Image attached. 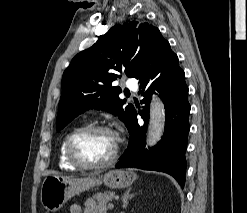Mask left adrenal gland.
Returning <instances> with one entry per match:
<instances>
[{"mask_svg":"<svg viewBox=\"0 0 247 213\" xmlns=\"http://www.w3.org/2000/svg\"><path fill=\"white\" fill-rule=\"evenodd\" d=\"M131 188L125 191V193L122 196V201H123V209L127 207L128 205V200H130L134 194H130Z\"/></svg>","mask_w":247,"mask_h":213,"instance_id":"a2214340","label":"left adrenal gland"}]
</instances>
